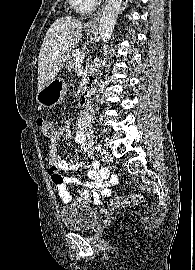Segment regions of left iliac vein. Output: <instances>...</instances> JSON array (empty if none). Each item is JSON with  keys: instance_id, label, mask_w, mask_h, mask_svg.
Instances as JSON below:
<instances>
[{"instance_id": "4c4485c4", "label": "left iliac vein", "mask_w": 195, "mask_h": 270, "mask_svg": "<svg viewBox=\"0 0 195 270\" xmlns=\"http://www.w3.org/2000/svg\"><path fill=\"white\" fill-rule=\"evenodd\" d=\"M102 160L106 163L110 162L111 160V154L108 150L103 149L101 152Z\"/></svg>"}]
</instances>
